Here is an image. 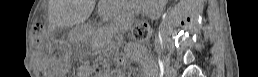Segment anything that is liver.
<instances>
[{"label":"liver","instance_id":"obj_1","mask_svg":"<svg viewBox=\"0 0 258 77\" xmlns=\"http://www.w3.org/2000/svg\"><path fill=\"white\" fill-rule=\"evenodd\" d=\"M70 7L67 8L63 14V18L68 24H74L76 21V5L75 1H69Z\"/></svg>","mask_w":258,"mask_h":77}]
</instances>
